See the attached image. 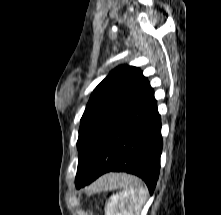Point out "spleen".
<instances>
[{
    "label": "spleen",
    "mask_w": 221,
    "mask_h": 215,
    "mask_svg": "<svg viewBox=\"0 0 221 215\" xmlns=\"http://www.w3.org/2000/svg\"><path fill=\"white\" fill-rule=\"evenodd\" d=\"M107 187L122 191L110 197L105 207L106 215H139L148 192L137 178L126 174H112Z\"/></svg>",
    "instance_id": "obj_1"
}]
</instances>
